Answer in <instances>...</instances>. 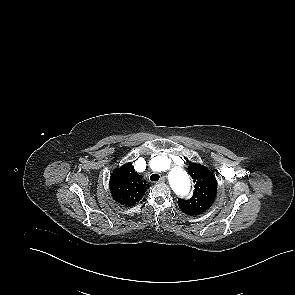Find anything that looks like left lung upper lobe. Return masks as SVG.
Returning <instances> with one entry per match:
<instances>
[{"instance_id":"1","label":"left lung upper lobe","mask_w":295,"mask_h":295,"mask_svg":"<svg viewBox=\"0 0 295 295\" xmlns=\"http://www.w3.org/2000/svg\"><path fill=\"white\" fill-rule=\"evenodd\" d=\"M188 173L195 183V190L191 199H178V206L188 215H199L205 212L214 202L217 193V181L207 168L197 163L189 165Z\"/></svg>"}]
</instances>
